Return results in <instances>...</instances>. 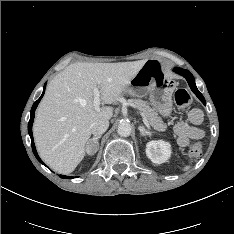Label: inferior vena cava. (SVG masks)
I'll return each mask as SVG.
<instances>
[{"mask_svg": "<svg viewBox=\"0 0 234 234\" xmlns=\"http://www.w3.org/2000/svg\"><path fill=\"white\" fill-rule=\"evenodd\" d=\"M109 127V121L107 119H100L95 121L91 125V132L95 136L103 134Z\"/></svg>", "mask_w": 234, "mask_h": 234, "instance_id": "obj_1", "label": "inferior vena cava"}]
</instances>
